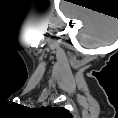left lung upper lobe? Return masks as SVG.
Segmentation results:
<instances>
[{"mask_svg": "<svg viewBox=\"0 0 118 118\" xmlns=\"http://www.w3.org/2000/svg\"><path fill=\"white\" fill-rule=\"evenodd\" d=\"M44 109L48 111V113L53 114L55 116L70 115V113L64 108L46 107Z\"/></svg>", "mask_w": 118, "mask_h": 118, "instance_id": "5c2ea615", "label": "left lung upper lobe"}]
</instances>
